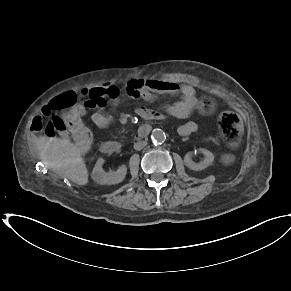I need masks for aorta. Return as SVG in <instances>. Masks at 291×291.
<instances>
[{
  "label": "aorta",
  "instance_id": "aorta-1",
  "mask_svg": "<svg viewBox=\"0 0 291 291\" xmlns=\"http://www.w3.org/2000/svg\"><path fill=\"white\" fill-rule=\"evenodd\" d=\"M151 138L154 144H162L165 141L166 136L161 129H154Z\"/></svg>",
  "mask_w": 291,
  "mask_h": 291
}]
</instances>
